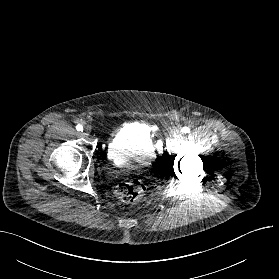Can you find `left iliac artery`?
Here are the masks:
<instances>
[{"label":"left iliac artery","instance_id":"44dca946","mask_svg":"<svg viewBox=\"0 0 279 279\" xmlns=\"http://www.w3.org/2000/svg\"><path fill=\"white\" fill-rule=\"evenodd\" d=\"M189 131H190V129L188 127H183L182 128L183 133H188Z\"/></svg>","mask_w":279,"mask_h":279}]
</instances>
